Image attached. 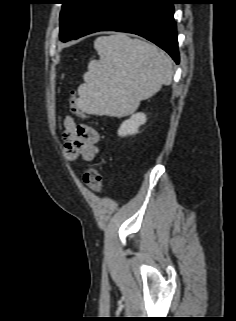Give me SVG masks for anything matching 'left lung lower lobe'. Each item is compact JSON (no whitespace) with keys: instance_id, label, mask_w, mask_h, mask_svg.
<instances>
[{"instance_id":"obj_1","label":"left lung lower lobe","mask_w":236,"mask_h":321,"mask_svg":"<svg viewBox=\"0 0 236 321\" xmlns=\"http://www.w3.org/2000/svg\"><path fill=\"white\" fill-rule=\"evenodd\" d=\"M177 0H101L72 39L98 31L137 34L165 50L179 63L176 23Z\"/></svg>"}]
</instances>
